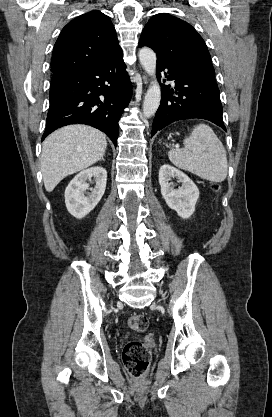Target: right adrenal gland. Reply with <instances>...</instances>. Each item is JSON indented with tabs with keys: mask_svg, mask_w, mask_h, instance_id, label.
Instances as JSON below:
<instances>
[{
	"mask_svg": "<svg viewBox=\"0 0 272 417\" xmlns=\"http://www.w3.org/2000/svg\"><path fill=\"white\" fill-rule=\"evenodd\" d=\"M101 161H105V159L102 157V158H101Z\"/></svg>",
	"mask_w": 272,
	"mask_h": 417,
	"instance_id": "obj_1",
	"label": "right adrenal gland"
}]
</instances>
